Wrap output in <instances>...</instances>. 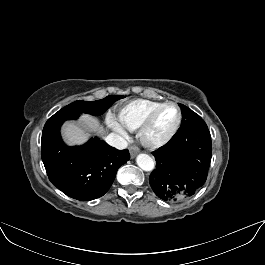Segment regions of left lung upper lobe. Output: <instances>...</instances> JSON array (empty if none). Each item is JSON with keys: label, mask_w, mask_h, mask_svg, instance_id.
<instances>
[{"label": "left lung upper lobe", "mask_w": 265, "mask_h": 265, "mask_svg": "<svg viewBox=\"0 0 265 265\" xmlns=\"http://www.w3.org/2000/svg\"><path fill=\"white\" fill-rule=\"evenodd\" d=\"M179 106L182 112V123L177 132L188 130L204 122V120L199 115H197L195 112H193L185 105L179 104Z\"/></svg>", "instance_id": "1"}]
</instances>
